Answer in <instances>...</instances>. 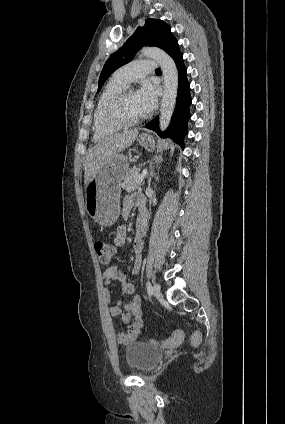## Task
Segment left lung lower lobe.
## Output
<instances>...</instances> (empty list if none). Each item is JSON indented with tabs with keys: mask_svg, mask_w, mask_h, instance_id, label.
I'll use <instances>...</instances> for the list:
<instances>
[{
	"mask_svg": "<svg viewBox=\"0 0 285 424\" xmlns=\"http://www.w3.org/2000/svg\"><path fill=\"white\" fill-rule=\"evenodd\" d=\"M167 53L173 58L179 72L178 95L176 98V111L172 123L165 132H160L158 116L145 125L146 128L156 131L161 137H169L182 149H184V136L187 134V123L191 115L189 106L192 102L189 90L190 83L187 80L186 67L183 63V55L179 50L177 40L172 44Z\"/></svg>",
	"mask_w": 285,
	"mask_h": 424,
	"instance_id": "left-lung-lower-lobe-1",
	"label": "left lung lower lobe"
}]
</instances>
